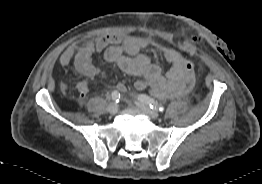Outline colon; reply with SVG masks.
<instances>
[{
    "instance_id": "1",
    "label": "colon",
    "mask_w": 262,
    "mask_h": 184,
    "mask_svg": "<svg viewBox=\"0 0 262 184\" xmlns=\"http://www.w3.org/2000/svg\"><path fill=\"white\" fill-rule=\"evenodd\" d=\"M181 64L185 72V78L177 96H181L189 92L195 82V63L182 55Z\"/></svg>"
}]
</instances>
